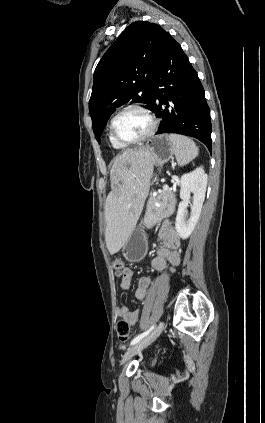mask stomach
<instances>
[{
  "instance_id": "1",
  "label": "stomach",
  "mask_w": 265,
  "mask_h": 423,
  "mask_svg": "<svg viewBox=\"0 0 265 423\" xmlns=\"http://www.w3.org/2000/svg\"><path fill=\"white\" fill-rule=\"evenodd\" d=\"M143 148L151 152L156 166L167 163L174 154L173 145L167 135L153 137ZM122 253L130 262H140L145 257L147 237L143 227H134L123 246Z\"/></svg>"
}]
</instances>
